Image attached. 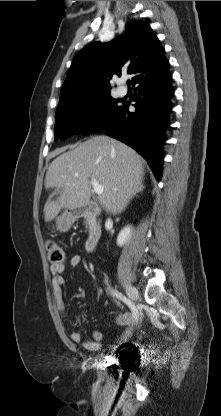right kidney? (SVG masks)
Masks as SVG:
<instances>
[{
    "label": "right kidney",
    "mask_w": 221,
    "mask_h": 416,
    "mask_svg": "<svg viewBox=\"0 0 221 416\" xmlns=\"http://www.w3.org/2000/svg\"><path fill=\"white\" fill-rule=\"evenodd\" d=\"M131 235H132V227L130 225H127L120 231L117 237V245L121 247L124 244H126V242L129 241Z\"/></svg>",
    "instance_id": "1"
}]
</instances>
